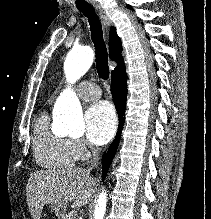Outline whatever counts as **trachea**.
<instances>
[{"mask_svg": "<svg viewBox=\"0 0 211 219\" xmlns=\"http://www.w3.org/2000/svg\"><path fill=\"white\" fill-rule=\"evenodd\" d=\"M77 8L87 17L90 25L91 37L95 47L97 73L100 78L107 80L109 78L108 54L103 39L101 22L91 5H80Z\"/></svg>", "mask_w": 211, "mask_h": 219, "instance_id": "3493384b", "label": "trachea"}]
</instances>
